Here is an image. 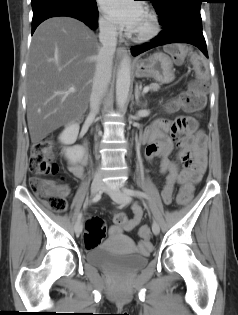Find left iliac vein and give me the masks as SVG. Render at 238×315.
Wrapping results in <instances>:
<instances>
[{"label": "left iliac vein", "mask_w": 238, "mask_h": 315, "mask_svg": "<svg viewBox=\"0 0 238 315\" xmlns=\"http://www.w3.org/2000/svg\"><path fill=\"white\" fill-rule=\"evenodd\" d=\"M105 192L109 194V196L119 204H125L128 203L131 200V197L126 194L125 192L121 191L120 188L110 186L107 184L103 185L102 188ZM152 231L155 235H158L160 232V227L156 221L152 223Z\"/></svg>", "instance_id": "1"}]
</instances>
